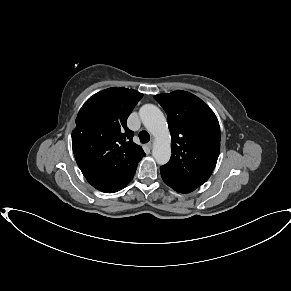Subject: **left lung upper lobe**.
<instances>
[{"mask_svg":"<svg viewBox=\"0 0 291 291\" xmlns=\"http://www.w3.org/2000/svg\"><path fill=\"white\" fill-rule=\"evenodd\" d=\"M154 98L167 113L172 137L170 161L161 168L201 186L211 176L220 152V127L214 112L186 91Z\"/></svg>","mask_w":291,"mask_h":291,"instance_id":"obj_1","label":"left lung upper lobe"}]
</instances>
